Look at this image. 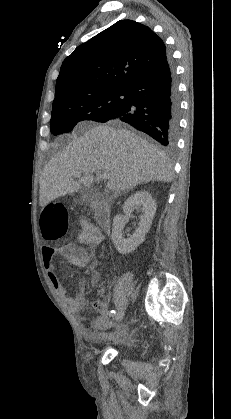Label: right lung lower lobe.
Wrapping results in <instances>:
<instances>
[{
  "mask_svg": "<svg viewBox=\"0 0 231 419\" xmlns=\"http://www.w3.org/2000/svg\"><path fill=\"white\" fill-rule=\"evenodd\" d=\"M123 103L105 121L121 120L160 144H175L179 124V94L168 59L124 90Z\"/></svg>",
  "mask_w": 231,
  "mask_h": 419,
  "instance_id": "98d812e1",
  "label": "right lung lower lobe"
}]
</instances>
